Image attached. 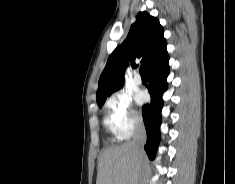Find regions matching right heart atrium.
Returning <instances> with one entry per match:
<instances>
[{"label":"right heart atrium","mask_w":235,"mask_h":184,"mask_svg":"<svg viewBox=\"0 0 235 184\" xmlns=\"http://www.w3.org/2000/svg\"><path fill=\"white\" fill-rule=\"evenodd\" d=\"M104 123L108 130L120 139L131 137L140 128L138 113L132 108L130 97L118 91L104 102Z\"/></svg>","instance_id":"right-heart-atrium-1"}]
</instances>
